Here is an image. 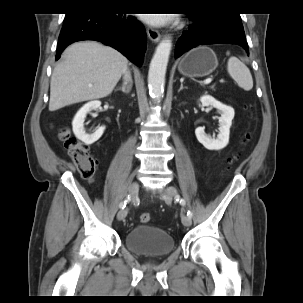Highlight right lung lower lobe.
<instances>
[{"label": "right lung lower lobe", "instance_id": "1", "mask_svg": "<svg viewBox=\"0 0 303 303\" xmlns=\"http://www.w3.org/2000/svg\"><path fill=\"white\" fill-rule=\"evenodd\" d=\"M82 40L109 45L137 66L142 65L147 45L145 28L134 17L95 8L66 14L59 35L56 60L68 45Z\"/></svg>", "mask_w": 303, "mask_h": 303}]
</instances>
